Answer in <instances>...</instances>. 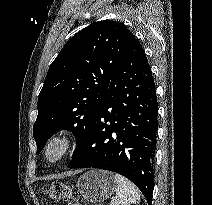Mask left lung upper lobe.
Here are the masks:
<instances>
[{
  "label": "left lung upper lobe",
  "instance_id": "left-lung-upper-lobe-1",
  "mask_svg": "<svg viewBox=\"0 0 212 205\" xmlns=\"http://www.w3.org/2000/svg\"><path fill=\"white\" fill-rule=\"evenodd\" d=\"M134 35L122 23L95 22L75 34L50 65L38 99L33 136L39 153L59 130L82 148L94 117L108 95L112 75Z\"/></svg>",
  "mask_w": 212,
  "mask_h": 205
}]
</instances>
